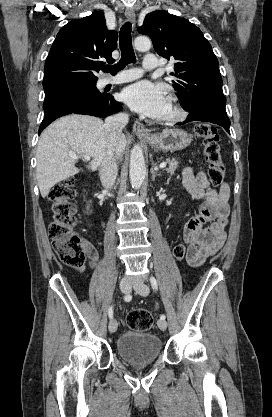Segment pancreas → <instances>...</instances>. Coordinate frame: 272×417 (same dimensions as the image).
Listing matches in <instances>:
<instances>
[{
	"label": "pancreas",
	"mask_w": 272,
	"mask_h": 417,
	"mask_svg": "<svg viewBox=\"0 0 272 417\" xmlns=\"http://www.w3.org/2000/svg\"><path fill=\"white\" fill-rule=\"evenodd\" d=\"M168 168H166V171L170 174H174L175 170L178 168V162L175 159H167Z\"/></svg>",
	"instance_id": "1"
}]
</instances>
